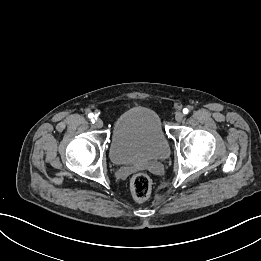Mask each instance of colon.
<instances>
[{
	"label": "colon",
	"mask_w": 261,
	"mask_h": 261,
	"mask_svg": "<svg viewBox=\"0 0 261 261\" xmlns=\"http://www.w3.org/2000/svg\"><path fill=\"white\" fill-rule=\"evenodd\" d=\"M130 189L134 200H146L151 193V179L145 173H137L131 179Z\"/></svg>",
	"instance_id": "colon-1"
}]
</instances>
